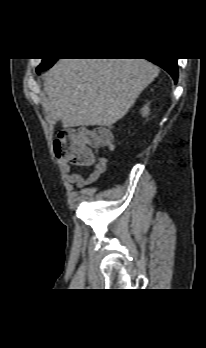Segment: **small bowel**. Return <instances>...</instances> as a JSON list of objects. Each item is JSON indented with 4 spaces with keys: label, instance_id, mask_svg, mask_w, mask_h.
Segmentation results:
<instances>
[{
    "label": "small bowel",
    "instance_id": "1",
    "mask_svg": "<svg viewBox=\"0 0 206 348\" xmlns=\"http://www.w3.org/2000/svg\"><path fill=\"white\" fill-rule=\"evenodd\" d=\"M60 164L68 181L79 188L95 183L106 171V163L104 160L89 164V166H93V170L87 177L72 172L70 165L64 160H62Z\"/></svg>",
    "mask_w": 206,
    "mask_h": 348
}]
</instances>
